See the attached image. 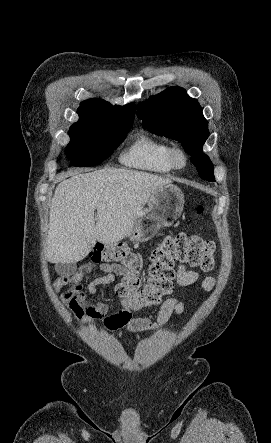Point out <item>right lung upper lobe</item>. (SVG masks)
I'll list each match as a JSON object with an SVG mask.
<instances>
[{
  "label": "right lung upper lobe",
  "instance_id": "1",
  "mask_svg": "<svg viewBox=\"0 0 271 443\" xmlns=\"http://www.w3.org/2000/svg\"><path fill=\"white\" fill-rule=\"evenodd\" d=\"M134 112V104L113 106L109 102L101 99L85 100L81 102L78 108L79 121L90 118H121L134 120Z\"/></svg>",
  "mask_w": 271,
  "mask_h": 443
}]
</instances>
